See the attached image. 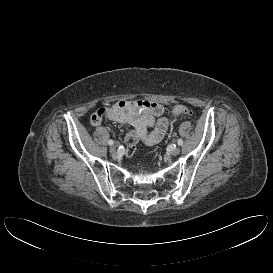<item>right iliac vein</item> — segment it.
<instances>
[{
	"instance_id": "obj_1",
	"label": "right iliac vein",
	"mask_w": 273,
	"mask_h": 273,
	"mask_svg": "<svg viewBox=\"0 0 273 273\" xmlns=\"http://www.w3.org/2000/svg\"><path fill=\"white\" fill-rule=\"evenodd\" d=\"M110 153L112 155H115L116 154V148L114 146H111L110 149H109Z\"/></svg>"
}]
</instances>
